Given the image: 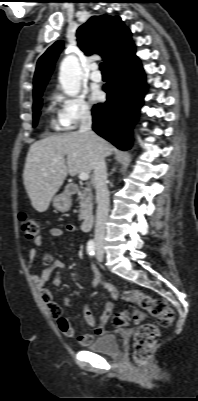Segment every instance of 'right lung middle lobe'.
<instances>
[{"label":"right lung middle lobe","instance_id":"obj_1","mask_svg":"<svg viewBox=\"0 0 198 401\" xmlns=\"http://www.w3.org/2000/svg\"><path fill=\"white\" fill-rule=\"evenodd\" d=\"M42 93H39L34 96V104H33V126L35 127L38 122V117L40 115V108L42 105V99H41Z\"/></svg>","mask_w":198,"mask_h":401}]
</instances>
